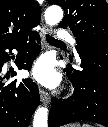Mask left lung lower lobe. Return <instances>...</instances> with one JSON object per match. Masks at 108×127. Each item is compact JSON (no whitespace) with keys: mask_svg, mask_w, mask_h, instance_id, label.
Returning <instances> with one entry per match:
<instances>
[{"mask_svg":"<svg viewBox=\"0 0 108 127\" xmlns=\"http://www.w3.org/2000/svg\"><path fill=\"white\" fill-rule=\"evenodd\" d=\"M82 71L64 70L75 85L66 100L52 98L49 127L86 120L108 127V46L79 53Z\"/></svg>","mask_w":108,"mask_h":127,"instance_id":"0a47b994","label":"left lung lower lobe"}]
</instances>
